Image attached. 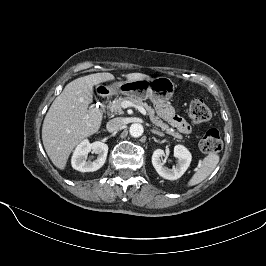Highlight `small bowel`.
Listing matches in <instances>:
<instances>
[{"instance_id": "1", "label": "small bowel", "mask_w": 266, "mask_h": 266, "mask_svg": "<svg viewBox=\"0 0 266 266\" xmlns=\"http://www.w3.org/2000/svg\"><path fill=\"white\" fill-rule=\"evenodd\" d=\"M158 114L166 120L171 126L175 127L178 131L184 134L191 132V127L185 119L179 114L177 109L170 105L158 104L156 106Z\"/></svg>"}]
</instances>
